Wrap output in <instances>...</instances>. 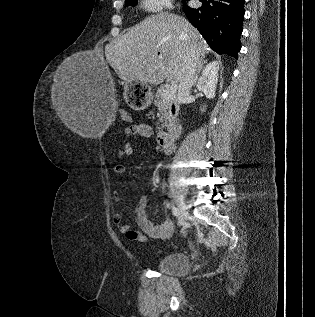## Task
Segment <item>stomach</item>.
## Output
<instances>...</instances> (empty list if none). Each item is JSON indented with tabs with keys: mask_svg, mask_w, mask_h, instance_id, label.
Listing matches in <instances>:
<instances>
[{
	"mask_svg": "<svg viewBox=\"0 0 315 317\" xmlns=\"http://www.w3.org/2000/svg\"><path fill=\"white\" fill-rule=\"evenodd\" d=\"M125 98H131V106L136 110L151 108L156 104V97H152L149 84L132 81L125 85Z\"/></svg>",
	"mask_w": 315,
	"mask_h": 317,
	"instance_id": "stomach-1",
	"label": "stomach"
}]
</instances>
